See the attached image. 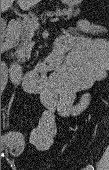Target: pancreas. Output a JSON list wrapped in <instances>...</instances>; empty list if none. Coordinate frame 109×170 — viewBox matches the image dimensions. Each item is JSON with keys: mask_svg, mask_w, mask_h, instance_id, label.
<instances>
[{"mask_svg": "<svg viewBox=\"0 0 109 170\" xmlns=\"http://www.w3.org/2000/svg\"><path fill=\"white\" fill-rule=\"evenodd\" d=\"M80 10L79 9H71V8H63L58 9L52 15L57 19H66V18H72L79 15ZM32 19L37 18L36 14H32ZM54 18V19H55ZM22 40L23 41H30L32 39L33 33L31 32L29 26L26 23H23V29H22Z\"/></svg>", "mask_w": 109, "mask_h": 170, "instance_id": "obj_1", "label": "pancreas"}]
</instances>
